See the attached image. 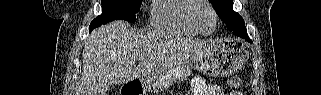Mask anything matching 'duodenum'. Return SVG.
I'll list each match as a JSON object with an SVG mask.
<instances>
[{"label": "duodenum", "mask_w": 321, "mask_h": 95, "mask_svg": "<svg viewBox=\"0 0 321 95\" xmlns=\"http://www.w3.org/2000/svg\"><path fill=\"white\" fill-rule=\"evenodd\" d=\"M137 83L141 86L143 84V80H138Z\"/></svg>", "instance_id": "410a0bca"}]
</instances>
